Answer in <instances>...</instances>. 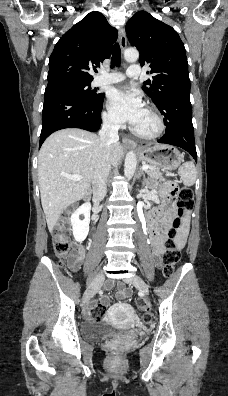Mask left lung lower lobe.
Here are the masks:
<instances>
[{"label": "left lung lower lobe", "mask_w": 228, "mask_h": 396, "mask_svg": "<svg viewBox=\"0 0 228 396\" xmlns=\"http://www.w3.org/2000/svg\"><path fill=\"white\" fill-rule=\"evenodd\" d=\"M176 100L182 103L181 110H174ZM158 109L164 115L166 125L165 135L158 142L181 147L197 161L189 94L172 96Z\"/></svg>", "instance_id": "0a47b994"}]
</instances>
